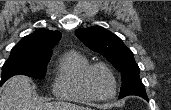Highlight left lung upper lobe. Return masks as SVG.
I'll return each mask as SVG.
<instances>
[{"label":"left lung upper lobe","mask_w":171,"mask_h":110,"mask_svg":"<svg viewBox=\"0 0 171 110\" xmlns=\"http://www.w3.org/2000/svg\"><path fill=\"white\" fill-rule=\"evenodd\" d=\"M75 33L88 48L105 56L122 73L120 98L137 95L147 99L133 53L118 36L100 26L79 28Z\"/></svg>","instance_id":"5c2ea615"}]
</instances>
